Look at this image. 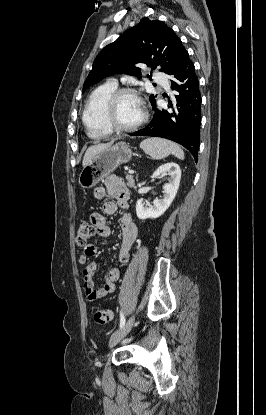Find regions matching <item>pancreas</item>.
I'll return each mask as SVG.
<instances>
[{"label": "pancreas", "mask_w": 266, "mask_h": 415, "mask_svg": "<svg viewBox=\"0 0 266 415\" xmlns=\"http://www.w3.org/2000/svg\"><path fill=\"white\" fill-rule=\"evenodd\" d=\"M126 181H127V186L128 187H134L135 181H134V177L132 175H127L126 176Z\"/></svg>", "instance_id": "1"}]
</instances>
